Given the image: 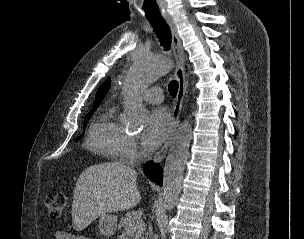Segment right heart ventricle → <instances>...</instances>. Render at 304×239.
Segmentation results:
<instances>
[{"mask_svg": "<svg viewBox=\"0 0 304 239\" xmlns=\"http://www.w3.org/2000/svg\"><path fill=\"white\" fill-rule=\"evenodd\" d=\"M124 134L123 127L115 120L114 108H109L90 125L85 143L89 149L115 159L120 155Z\"/></svg>", "mask_w": 304, "mask_h": 239, "instance_id": "e07e8e85", "label": "right heart ventricle"}]
</instances>
